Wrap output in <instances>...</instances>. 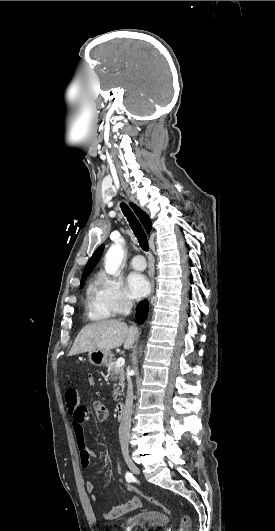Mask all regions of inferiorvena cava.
I'll return each instance as SVG.
<instances>
[{
  "label": "inferior vena cava",
  "mask_w": 275,
  "mask_h": 531,
  "mask_svg": "<svg viewBox=\"0 0 275 531\" xmlns=\"http://www.w3.org/2000/svg\"><path fill=\"white\" fill-rule=\"evenodd\" d=\"M131 309H132L131 301H128V299H125L124 315H130ZM132 411H133V383L131 379H128L125 407H124V411L122 415V421L119 427V441H120L121 449H128Z\"/></svg>",
  "instance_id": "inferior-vena-cava-1"
}]
</instances>
